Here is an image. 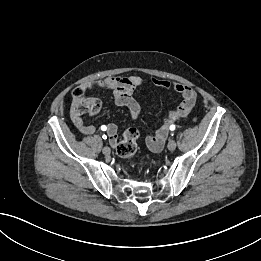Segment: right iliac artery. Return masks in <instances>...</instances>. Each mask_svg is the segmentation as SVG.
<instances>
[{"label":"right iliac artery","instance_id":"1","mask_svg":"<svg viewBox=\"0 0 261 261\" xmlns=\"http://www.w3.org/2000/svg\"><path fill=\"white\" fill-rule=\"evenodd\" d=\"M101 129H102L103 131H105V130H106V126H105V125L101 126ZM102 138H103V139H107V136L104 134V135L102 136Z\"/></svg>","mask_w":261,"mask_h":261}]
</instances>
